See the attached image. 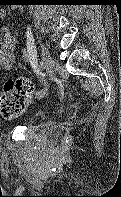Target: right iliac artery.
Listing matches in <instances>:
<instances>
[{
  "label": "right iliac artery",
  "mask_w": 121,
  "mask_h": 197,
  "mask_svg": "<svg viewBox=\"0 0 121 197\" xmlns=\"http://www.w3.org/2000/svg\"><path fill=\"white\" fill-rule=\"evenodd\" d=\"M37 67H38V70H42L44 68V63L42 61H40L38 63V66Z\"/></svg>",
  "instance_id": "obj_1"
}]
</instances>
